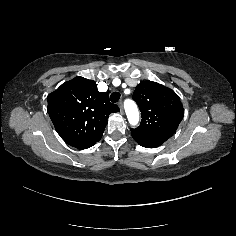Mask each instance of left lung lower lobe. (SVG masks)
I'll use <instances>...</instances> for the list:
<instances>
[{
  "label": "left lung lower lobe",
  "instance_id": "obj_1",
  "mask_svg": "<svg viewBox=\"0 0 236 236\" xmlns=\"http://www.w3.org/2000/svg\"><path fill=\"white\" fill-rule=\"evenodd\" d=\"M131 135L139 145L146 147V148L158 147L166 141V140L154 139V138L153 139L141 138V137L134 135V134H131Z\"/></svg>",
  "mask_w": 236,
  "mask_h": 236
}]
</instances>
